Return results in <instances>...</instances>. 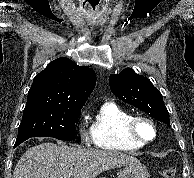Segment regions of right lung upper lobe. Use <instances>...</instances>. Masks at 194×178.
Returning a JSON list of instances; mask_svg holds the SVG:
<instances>
[{
	"instance_id": "right-lung-upper-lobe-1",
	"label": "right lung upper lobe",
	"mask_w": 194,
	"mask_h": 178,
	"mask_svg": "<svg viewBox=\"0 0 194 178\" xmlns=\"http://www.w3.org/2000/svg\"><path fill=\"white\" fill-rule=\"evenodd\" d=\"M96 83V75L88 66H78L67 58H58L33 80L28 100L43 99L81 109Z\"/></svg>"
}]
</instances>
